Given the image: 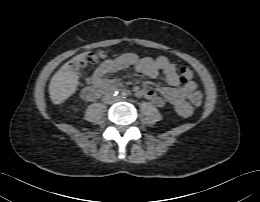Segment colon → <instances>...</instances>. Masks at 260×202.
Listing matches in <instances>:
<instances>
[{
    "label": "colon",
    "instance_id": "1",
    "mask_svg": "<svg viewBox=\"0 0 260 202\" xmlns=\"http://www.w3.org/2000/svg\"><path fill=\"white\" fill-rule=\"evenodd\" d=\"M179 74L181 81L185 84L190 83L194 80V72L189 66H181ZM189 99L192 104L199 105L202 101V94L199 91H193L190 93Z\"/></svg>",
    "mask_w": 260,
    "mask_h": 202
}]
</instances>
